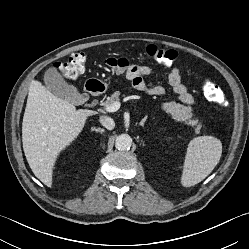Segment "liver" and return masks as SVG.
Wrapping results in <instances>:
<instances>
[{
  "mask_svg": "<svg viewBox=\"0 0 249 249\" xmlns=\"http://www.w3.org/2000/svg\"><path fill=\"white\" fill-rule=\"evenodd\" d=\"M95 112L75 106L33 81L22 122L23 150L34 175L52 186L53 168L60 152L83 130Z\"/></svg>",
  "mask_w": 249,
  "mask_h": 249,
  "instance_id": "1",
  "label": "liver"
}]
</instances>
